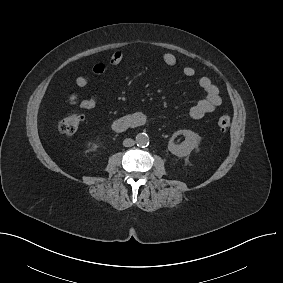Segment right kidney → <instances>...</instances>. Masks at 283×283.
Masks as SVG:
<instances>
[{"mask_svg":"<svg viewBox=\"0 0 283 283\" xmlns=\"http://www.w3.org/2000/svg\"><path fill=\"white\" fill-rule=\"evenodd\" d=\"M99 146L97 144H92L90 146V151H95Z\"/></svg>","mask_w":283,"mask_h":283,"instance_id":"right-kidney-1","label":"right kidney"}]
</instances>
